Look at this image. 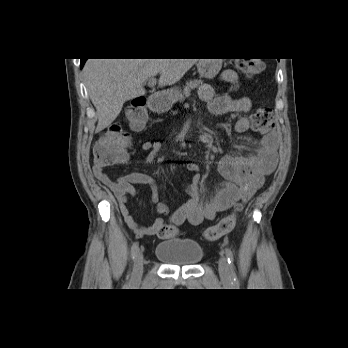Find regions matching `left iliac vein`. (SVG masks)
I'll return each instance as SVG.
<instances>
[{"label": "left iliac vein", "mask_w": 348, "mask_h": 348, "mask_svg": "<svg viewBox=\"0 0 348 348\" xmlns=\"http://www.w3.org/2000/svg\"><path fill=\"white\" fill-rule=\"evenodd\" d=\"M219 275L222 281L227 282L230 280L229 265L227 259L221 256L218 261Z\"/></svg>", "instance_id": "1"}]
</instances>
